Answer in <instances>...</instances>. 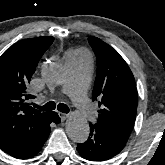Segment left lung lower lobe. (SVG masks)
I'll return each mask as SVG.
<instances>
[{"label": "left lung lower lobe", "mask_w": 165, "mask_h": 165, "mask_svg": "<svg viewBox=\"0 0 165 165\" xmlns=\"http://www.w3.org/2000/svg\"><path fill=\"white\" fill-rule=\"evenodd\" d=\"M127 139L90 124V136L77 145L80 156L90 161L108 160L122 151Z\"/></svg>", "instance_id": "0a47b994"}]
</instances>
